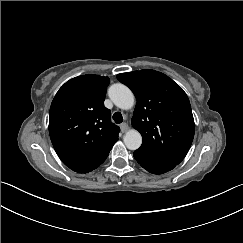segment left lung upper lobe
<instances>
[{
	"label": "left lung upper lobe",
	"instance_id": "1",
	"mask_svg": "<svg viewBox=\"0 0 243 243\" xmlns=\"http://www.w3.org/2000/svg\"><path fill=\"white\" fill-rule=\"evenodd\" d=\"M116 77L133 91L137 100L132 126L143 139L137 151L156 161L178 165L189 151L195 132L190 102L183 89L155 70Z\"/></svg>",
	"mask_w": 243,
	"mask_h": 243
}]
</instances>
